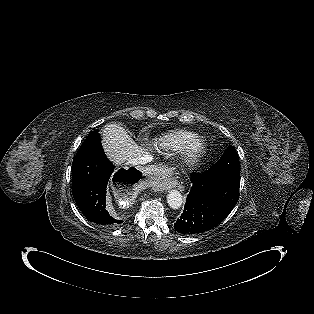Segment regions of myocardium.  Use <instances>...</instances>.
Returning a JSON list of instances; mask_svg holds the SVG:
<instances>
[{"mask_svg":"<svg viewBox=\"0 0 314 314\" xmlns=\"http://www.w3.org/2000/svg\"><path fill=\"white\" fill-rule=\"evenodd\" d=\"M183 150V164L186 166H192L196 164L204 155L206 150V143L204 139L195 137L187 143Z\"/></svg>","mask_w":314,"mask_h":314,"instance_id":"f54148a6","label":"myocardium"}]
</instances>
